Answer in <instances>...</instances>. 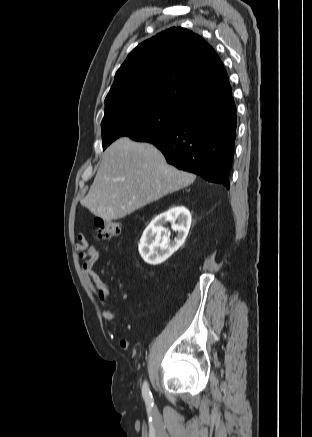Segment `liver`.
Instances as JSON below:
<instances>
[{
  "label": "liver",
  "instance_id": "liver-1",
  "mask_svg": "<svg viewBox=\"0 0 312 437\" xmlns=\"http://www.w3.org/2000/svg\"><path fill=\"white\" fill-rule=\"evenodd\" d=\"M195 178L169 165L152 144L123 137L104 152L81 204L95 216L117 220L189 186Z\"/></svg>",
  "mask_w": 312,
  "mask_h": 437
}]
</instances>
